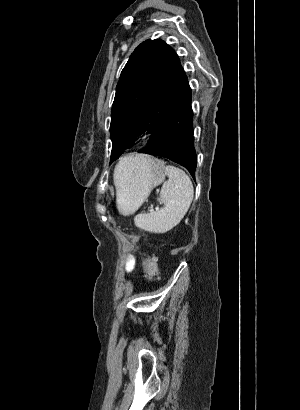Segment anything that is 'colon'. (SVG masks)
Masks as SVG:
<instances>
[{"label": "colon", "mask_w": 300, "mask_h": 410, "mask_svg": "<svg viewBox=\"0 0 300 410\" xmlns=\"http://www.w3.org/2000/svg\"><path fill=\"white\" fill-rule=\"evenodd\" d=\"M144 270L147 279L152 280L158 274L157 260L154 256H148L144 260Z\"/></svg>", "instance_id": "5ec220e1"}]
</instances>
